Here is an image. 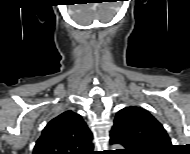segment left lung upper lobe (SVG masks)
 <instances>
[{"label": "left lung upper lobe", "instance_id": "1", "mask_svg": "<svg viewBox=\"0 0 190 154\" xmlns=\"http://www.w3.org/2000/svg\"><path fill=\"white\" fill-rule=\"evenodd\" d=\"M112 134L128 143L133 154L159 153L172 147L162 124L138 106L123 108L116 114Z\"/></svg>", "mask_w": 190, "mask_h": 154}]
</instances>
